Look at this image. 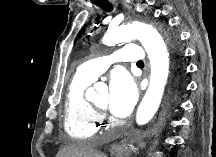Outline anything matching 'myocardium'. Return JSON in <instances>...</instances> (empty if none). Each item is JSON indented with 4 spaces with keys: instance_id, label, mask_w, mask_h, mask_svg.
<instances>
[{
    "instance_id": "f54148a6",
    "label": "myocardium",
    "mask_w": 216,
    "mask_h": 157,
    "mask_svg": "<svg viewBox=\"0 0 216 157\" xmlns=\"http://www.w3.org/2000/svg\"><path fill=\"white\" fill-rule=\"evenodd\" d=\"M92 105L94 106V108L97 110V111H104L105 110V107H102L100 105H98L97 103L93 102Z\"/></svg>"
}]
</instances>
